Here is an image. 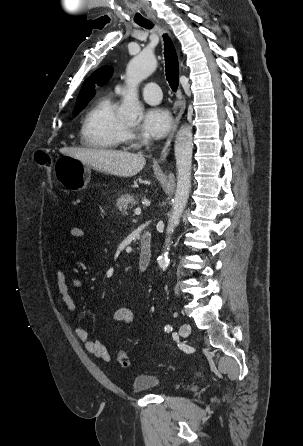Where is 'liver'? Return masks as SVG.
I'll return each mask as SVG.
<instances>
[{
    "label": "liver",
    "instance_id": "liver-1",
    "mask_svg": "<svg viewBox=\"0 0 303 446\" xmlns=\"http://www.w3.org/2000/svg\"><path fill=\"white\" fill-rule=\"evenodd\" d=\"M60 152L96 170L119 177H132L139 173L146 164V159L142 154L123 151L63 148Z\"/></svg>",
    "mask_w": 303,
    "mask_h": 446
}]
</instances>
